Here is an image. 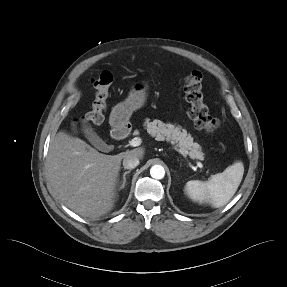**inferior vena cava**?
I'll return each mask as SVG.
<instances>
[{"mask_svg": "<svg viewBox=\"0 0 287 287\" xmlns=\"http://www.w3.org/2000/svg\"><path fill=\"white\" fill-rule=\"evenodd\" d=\"M139 165V158L133 154H127L123 159L125 169H134Z\"/></svg>", "mask_w": 287, "mask_h": 287, "instance_id": "inferior-vena-cava-1", "label": "inferior vena cava"}]
</instances>
